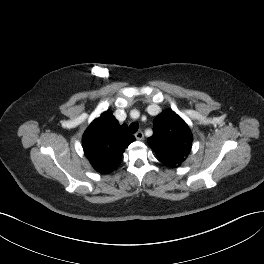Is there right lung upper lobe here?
I'll use <instances>...</instances> for the list:
<instances>
[{
	"label": "right lung upper lobe",
	"mask_w": 264,
	"mask_h": 264,
	"mask_svg": "<svg viewBox=\"0 0 264 264\" xmlns=\"http://www.w3.org/2000/svg\"><path fill=\"white\" fill-rule=\"evenodd\" d=\"M134 141L125 124H119L110 111L96 118L86 129L82 146L93 168L101 174L114 171L125 149Z\"/></svg>",
	"instance_id": "obj_1"
}]
</instances>
